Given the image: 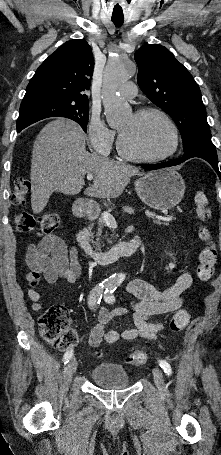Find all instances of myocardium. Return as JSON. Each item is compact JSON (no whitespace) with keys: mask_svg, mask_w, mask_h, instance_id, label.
I'll list each match as a JSON object with an SVG mask.
<instances>
[{"mask_svg":"<svg viewBox=\"0 0 221 455\" xmlns=\"http://www.w3.org/2000/svg\"><path fill=\"white\" fill-rule=\"evenodd\" d=\"M133 115L135 117H145L148 115L159 116L167 124V126L169 127V129L171 131L172 145L168 151H166L165 153L159 154V155H154V156L136 155V154L131 153L128 150H126V148L124 147L122 136L119 132L118 140H117V150L122 157H124L125 159H128L130 161H134V162L155 163V162L163 161V160L173 156L176 153V151L178 150V147H179V142H180L179 132H178L176 124L174 123L172 118L166 112H164L158 108L147 107V108H143V109L136 111Z\"/></svg>","mask_w":221,"mask_h":455,"instance_id":"f54148a6","label":"myocardium"}]
</instances>
